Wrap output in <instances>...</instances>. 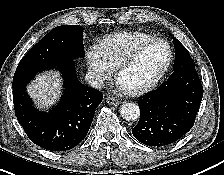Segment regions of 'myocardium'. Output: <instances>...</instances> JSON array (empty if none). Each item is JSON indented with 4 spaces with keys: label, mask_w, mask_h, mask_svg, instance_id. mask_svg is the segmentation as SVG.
Here are the masks:
<instances>
[{
    "label": "myocardium",
    "mask_w": 224,
    "mask_h": 175,
    "mask_svg": "<svg viewBox=\"0 0 224 175\" xmlns=\"http://www.w3.org/2000/svg\"><path fill=\"white\" fill-rule=\"evenodd\" d=\"M156 43H162L167 47L168 56H167V59H166L164 65L162 66L160 71L155 75V77L152 78L149 82H147L141 86L132 88V89H127V92L129 94L138 95V94H142V93H145V92L153 89L159 83V81L164 77L166 72L168 71V69L171 65V62H172V58H173V52H172L171 46L164 39L153 38V39L141 44L140 46H138L130 55H128L125 59H123L120 62V64L117 66L116 76L119 79L121 73L125 69L130 67L148 47H150L151 45L156 44Z\"/></svg>",
    "instance_id": "f54148a6"
}]
</instances>
